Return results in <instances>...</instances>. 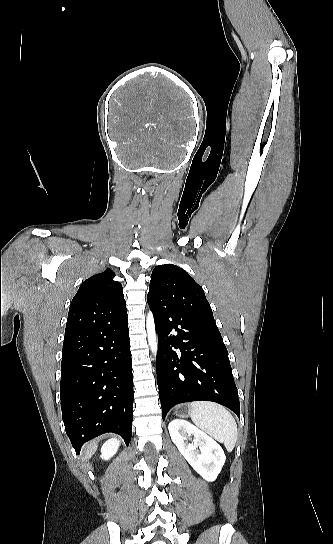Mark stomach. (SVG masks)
Masks as SVG:
<instances>
[{"label": "stomach", "instance_id": "stomach-1", "mask_svg": "<svg viewBox=\"0 0 333 544\" xmlns=\"http://www.w3.org/2000/svg\"><path fill=\"white\" fill-rule=\"evenodd\" d=\"M175 414L178 417L185 418L187 416V414H189V409H187L186 406H178L176 408Z\"/></svg>", "mask_w": 333, "mask_h": 544}]
</instances>
